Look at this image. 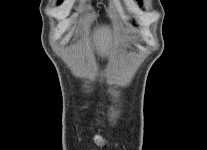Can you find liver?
Listing matches in <instances>:
<instances>
[{"mask_svg":"<svg viewBox=\"0 0 207 150\" xmlns=\"http://www.w3.org/2000/svg\"><path fill=\"white\" fill-rule=\"evenodd\" d=\"M111 40L112 35L107 27L102 26L95 30L94 43L100 54H107Z\"/></svg>","mask_w":207,"mask_h":150,"instance_id":"1","label":"liver"}]
</instances>
